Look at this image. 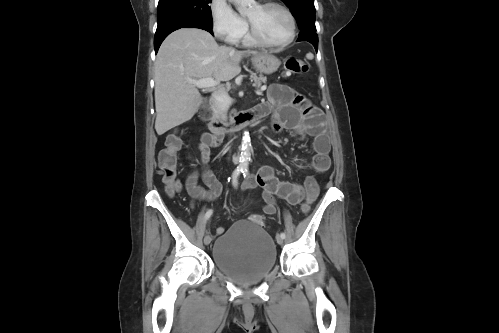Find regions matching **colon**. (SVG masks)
Masks as SVG:
<instances>
[{
  "label": "colon",
  "mask_w": 499,
  "mask_h": 333,
  "mask_svg": "<svg viewBox=\"0 0 499 333\" xmlns=\"http://www.w3.org/2000/svg\"><path fill=\"white\" fill-rule=\"evenodd\" d=\"M308 70V65L302 60L291 58L285 62V71L288 75H296L305 73ZM181 148V139L177 134L170 135L166 140V147L159 155V174L170 195L175 194L180 189V184L177 180V152ZM304 191L306 194L305 202L302 205L304 213L309 211L310 205L317 199L319 195V185L313 176H309L304 181ZM249 220L263 225V218L260 215L252 214Z\"/></svg>",
  "instance_id": "obj_1"
}]
</instances>
